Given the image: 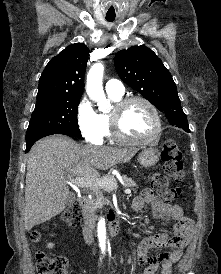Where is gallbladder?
<instances>
[{
    "label": "gallbladder",
    "instance_id": "gallbladder-1",
    "mask_svg": "<svg viewBox=\"0 0 221 274\" xmlns=\"http://www.w3.org/2000/svg\"><path fill=\"white\" fill-rule=\"evenodd\" d=\"M75 202V196L73 194H70L67 199V205H71Z\"/></svg>",
    "mask_w": 221,
    "mask_h": 274
}]
</instances>
